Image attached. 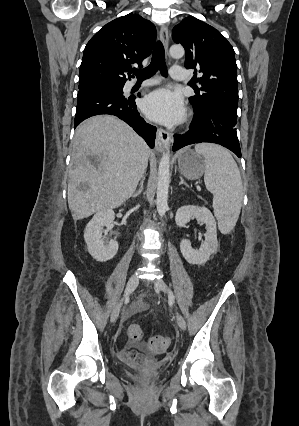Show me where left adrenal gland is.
<instances>
[{"label": "left adrenal gland", "instance_id": "left-adrenal-gland-1", "mask_svg": "<svg viewBox=\"0 0 299 426\" xmlns=\"http://www.w3.org/2000/svg\"><path fill=\"white\" fill-rule=\"evenodd\" d=\"M179 185H185L186 187H189L188 184L184 181V179L182 177H180Z\"/></svg>", "mask_w": 299, "mask_h": 426}]
</instances>
